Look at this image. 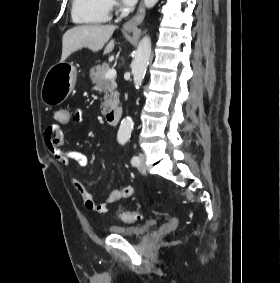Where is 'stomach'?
Wrapping results in <instances>:
<instances>
[{
    "instance_id": "1",
    "label": "stomach",
    "mask_w": 280,
    "mask_h": 283,
    "mask_svg": "<svg viewBox=\"0 0 280 283\" xmlns=\"http://www.w3.org/2000/svg\"><path fill=\"white\" fill-rule=\"evenodd\" d=\"M77 70L67 62L52 65L43 79L41 100L47 106L58 105L65 101L74 89Z\"/></svg>"
}]
</instances>
